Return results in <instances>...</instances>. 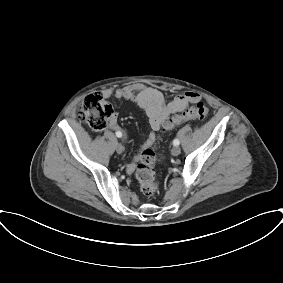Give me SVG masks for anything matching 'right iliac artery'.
<instances>
[{"label":"right iliac artery","instance_id":"obj_1","mask_svg":"<svg viewBox=\"0 0 283 283\" xmlns=\"http://www.w3.org/2000/svg\"><path fill=\"white\" fill-rule=\"evenodd\" d=\"M116 136H117L118 138H121V137H122V133H121L120 131H117V132H116Z\"/></svg>","mask_w":283,"mask_h":283}]
</instances>
